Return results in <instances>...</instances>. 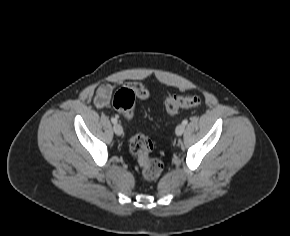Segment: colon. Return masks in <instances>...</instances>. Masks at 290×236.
Here are the masks:
<instances>
[{
    "label": "colon",
    "mask_w": 290,
    "mask_h": 236,
    "mask_svg": "<svg viewBox=\"0 0 290 236\" xmlns=\"http://www.w3.org/2000/svg\"><path fill=\"white\" fill-rule=\"evenodd\" d=\"M136 95V90L127 86L120 88L114 96V107L127 119H132L135 115ZM200 104L201 98L198 95L171 94L165 100V110L169 115H175L180 108L197 107ZM129 146L142 168L143 177L148 181L157 179L164 165L161 159L151 156L153 143L150 138L145 134L137 133L130 139Z\"/></svg>",
    "instance_id": "1"
}]
</instances>
